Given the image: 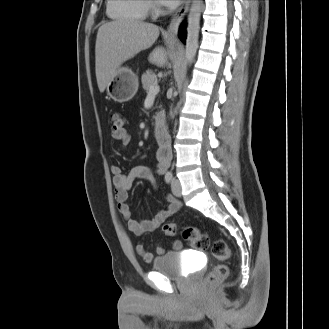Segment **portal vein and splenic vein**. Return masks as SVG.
I'll return each mask as SVG.
<instances>
[{
  "label": "portal vein and splenic vein",
  "mask_w": 329,
  "mask_h": 329,
  "mask_svg": "<svg viewBox=\"0 0 329 329\" xmlns=\"http://www.w3.org/2000/svg\"><path fill=\"white\" fill-rule=\"evenodd\" d=\"M159 93V86L155 83L153 85L150 86L149 91H148V95L149 96H155Z\"/></svg>",
  "instance_id": "18ae733b"
}]
</instances>
